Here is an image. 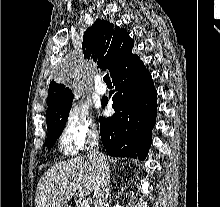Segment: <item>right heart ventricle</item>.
Masks as SVG:
<instances>
[{"instance_id":"1","label":"right heart ventricle","mask_w":220,"mask_h":207,"mask_svg":"<svg viewBox=\"0 0 220 207\" xmlns=\"http://www.w3.org/2000/svg\"><path fill=\"white\" fill-rule=\"evenodd\" d=\"M65 152V151H64ZM65 154L67 155H72V154H75V153H72V152H65Z\"/></svg>"}]
</instances>
